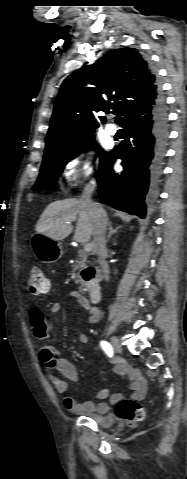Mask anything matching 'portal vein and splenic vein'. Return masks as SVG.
Listing matches in <instances>:
<instances>
[{"label": "portal vein and splenic vein", "instance_id": "1", "mask_svg": "<svg viewBox=\"0 0 187 479\" xmlns=\"http://www.w3.org/2000/svg\"><path fill=\"white\" fill-rule=\"evenodd\" d=\"M92 248H93V245L89 244V243L84 246V250L86 252H90L92 250Z\"/></svg>", "mask_w": 187, "mask_h": 479}]
</instances>
